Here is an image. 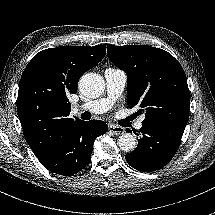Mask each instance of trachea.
<instances>
[{
  "label": "trachea",
  "mask_w": 215,
  "mask_h": 215,
  "mask_svg": "<svg viewBox=\"0 0 215 215\" xmlns=\"http://www.w3.org/2000/svg\"><path fill=\"white\" fill-rule=\"evenodd\" d=\"M134 118H135L134 115H131V116L128 117V123H129L128 126L130 125V121L133 120Z\"/></svg>",
  "instance_id": "3493384b"
}]
</instances>
